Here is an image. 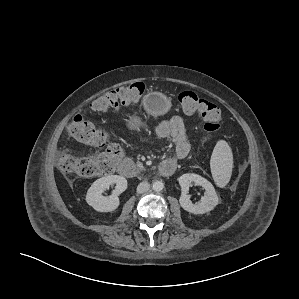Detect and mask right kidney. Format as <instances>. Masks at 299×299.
Returning <instances> with one entry per match:
<instances>
[{
	"mask_svg": "<svg viewBox=\"0 0 299 299\" xmlns=\"http://www.w3.org/2000/svg\"><path fill=\"white\" fill-rule=\"evenodd\" d=\"M115 185L110 196H103V192L110 185ZM127 189V180L118 175L101 177L94 181L86 194V202L98 212H112L119 206V198Z\"/></svg>",
	"mask_w": 299,
	"mask_h": 299,
	"instance_id": "ca27d5eb",
	"label": "right kidney"
}]
</instances>
